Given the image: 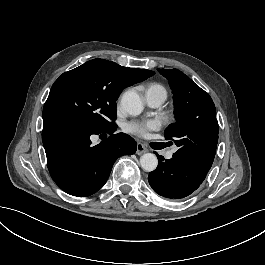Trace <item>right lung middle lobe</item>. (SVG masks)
I'll return each mask as SVG.
<instances>
[{
	"instance_id": "1",
	"label": "right lung middle lobe",
	"mask_w": 265,
	"mask_h": 265,
	"mask_svg": "<svg viewBox=\"0 0 265 265\" xmlns=\"http://www.w3.org/2000/svg\"><path fill=\"white\" fill-rule=\"evenodd\" d=\"M133 77L114 62L93 59L65 72L53 84L43 116L65 117L101 133L117 128L116 103Z\"/></svg>"
}]
</instances>
